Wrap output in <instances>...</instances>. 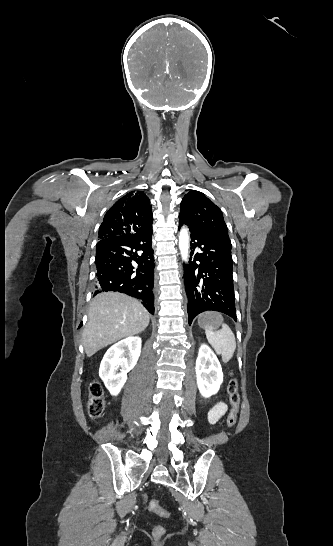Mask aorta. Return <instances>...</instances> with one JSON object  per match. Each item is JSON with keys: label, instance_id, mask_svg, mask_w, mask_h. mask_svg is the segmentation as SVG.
Here are the masks:
<instances>
[{"label": "aorta", "instance_id": "obj_1", "mask_svg": "<svg viewBox=\"0 0 333 546\" xmlns=\"http://www.w3.org/2000/svg\"><path fill=\"white\" fill-rule=\"evenodd\" d=\"M179 249L182 259L187 260L189 250V234L186 228H182L179 233Z\"/></svg>", "mask_w": 333, "mask_h": 546}]
</instances>
